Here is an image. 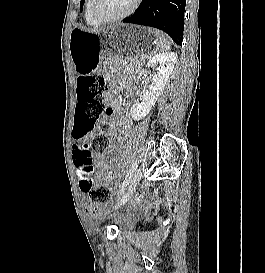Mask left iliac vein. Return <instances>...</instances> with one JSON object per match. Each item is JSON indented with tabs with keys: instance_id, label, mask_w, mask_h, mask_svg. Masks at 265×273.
<instances>
[{
	"instance_id": "obj_1",
	"label": "left iliac vein",
	"mask_w": 265,
	"mask_h": 273,
	"mask_svg": "<svg viewBox=\"0 0 265 273\" xmlns=\"http://www.w3.org/2000/svg\"><path fill=\"white\" fill-rule=\"evenodd\" d=\"M142 177V171L140 168H138L132 178H131V181H130V184H129V187L128 189L126 190L125 194L123 195L122 198H120V200L118 201V204H117V207H120L122 205H124L127 200L131 197V195L133 194L134 190L136 189L140 179Z\"/></svg>"
}]
</instances>
